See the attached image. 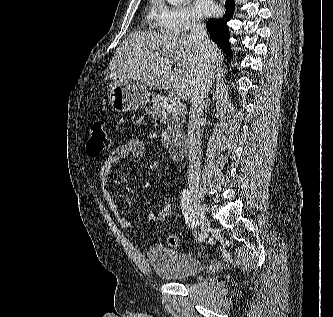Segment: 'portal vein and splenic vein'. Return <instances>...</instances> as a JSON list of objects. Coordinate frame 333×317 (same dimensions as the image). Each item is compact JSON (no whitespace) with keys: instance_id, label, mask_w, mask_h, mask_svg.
I'll use <instances>...</instances> for the list:
<instances>
[{"instance_id":"obj_1","label":"portal vein and splenic vein","mask_w":333,"mask_h":317,"mask_svg":"<svg viewBox=\"0 0 333 317\" xmlns=\"http://www.w3.org/2000/svg\"><path fill=\"white\" fill-rule=\"evenodd\" d=\"M182 108V103L180 100L172 101L170 102L167 107L166 111L167 112H177Z\"/></svg>"}]
</instances>
